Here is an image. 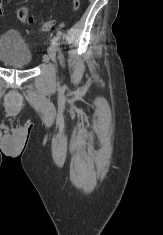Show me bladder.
I'll return each instance as SVG.
<instances>
[{
    "label": "bladder",
    "mask_w": 163,
    "mask_h": 235,
    "mask_svg": "<svg viewBox=\"0 0 163 235\" xmlns=\"http://www.w3.org/2000/svg\"><path fill=\"white\" fill-rule=\"evenodd\" d=\"M0 61L15 69H26L33 61L29 44L16 29H9L0 35Z\"/></svg>",
    "instance_id": "31cf9c89"
}]
</instances>
